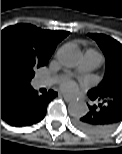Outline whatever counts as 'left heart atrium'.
I'll return each mask as SVG.
<instances>
[{
  "instance_id": "left-heart-atrium-1",
  "label": "left heart atrium",
  "mask_w": 122,
  "mask_h": 154,
  "mask_svg": "<svg viewBox=\"0 0 122 154\" xmlns=\"http://www.w3.org/2000/svg\"><path fill=\"white\" fill-rule=\"evenodd\" d=\"M76 84L71 80H64L61 82V89L66 92H74L76 90Z\"/></svg>"
}]
</instances>
